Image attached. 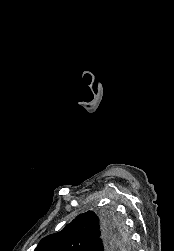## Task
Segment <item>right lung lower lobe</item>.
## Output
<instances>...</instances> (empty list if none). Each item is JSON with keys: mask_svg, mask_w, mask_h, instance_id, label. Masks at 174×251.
Masks as SVG:
<instances>
[{"mask_svg": "<svg viewBox=\"0 0 174 251\" xmlns=\"http://www.w3.org/2000/svg\"><path fill=\"white\" fill-rule=\"evenodd\" d=\"M102 220H103L102 226H101L102 235L100 238L99 245L94 249V251H99V249L102 247L104 248V251H118V250H114L112 248V245L116 241L119 233H121L119 226L114 223H111L110 221L106 220L104 217H102Z\"/></svg>", "mask_w": 174, "mask_h": 251, "instance_id": "obj_1", "label": "right lung lower lobe"}]
</instances>
